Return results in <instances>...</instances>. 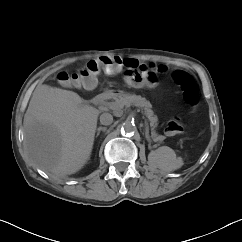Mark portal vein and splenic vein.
I'll list each match as a JSON object with an SVG mask.
<instances>
[{"label":"portal vein and splenic vein","mask_w":242,"mask_h":242,"mask_svg":"<svg viewBox=\"0 0 242 242\" xmlns=\"http://www.w3.org/2000/svg\"><path fill=\"white\" fill-rule=\"evenodd\" d=\"M110 108L116 110V109H118V105L116 103H111Z\"/></svg>","instance_id":"18ae733b"}]
</instances>
